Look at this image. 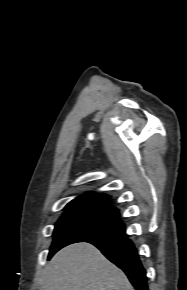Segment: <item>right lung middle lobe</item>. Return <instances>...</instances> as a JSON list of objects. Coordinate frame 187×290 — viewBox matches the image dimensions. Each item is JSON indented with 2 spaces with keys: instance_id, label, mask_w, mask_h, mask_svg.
I'll use <instances>...</instances> for the list:
<instances>
[{
  "instance_id": "dd1d6c3e",
  "label": "right lung middle lobe",
  "mask_w": 187,
  "mask_h": 290,
  "mask_svg": "<svg viewBox=\"0 0 187 290\" xmlns=\"http://www.w3.org/2000/svg\"><path fill=\"white\" fill-rule=\"evenodd\" d=\"M123 230L125 227L118 215L108 210L83 208L65 211L56 223L48 259L66 245Z\"/></svg>"
}]
</instances>
